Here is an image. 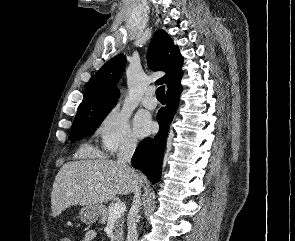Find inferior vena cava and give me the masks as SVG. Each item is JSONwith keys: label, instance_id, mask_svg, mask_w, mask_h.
Masks as SVG:
<instances>
[{"label": "inferior vena cava", "instance_id": "1", "mask_svg": "<svg viewBox=\"0 0 295 241\" xmlns=\"http://www.w3.org/2000/svg\"><path fill=\"white\" fill-rule=\"evenodd\" d=\"M137 141L133 137H126L122 141L119 152L117 155V164L124 166L130 173L134 174V171L129 167L131 158L136 149ZM140 204V187H136L134 190L133 204L130 209V213L127 219L128 234L127 241H138L137 234V215Z\"/></svg>", "mask_w": 295, "mask_h": 241}]
</instances>
